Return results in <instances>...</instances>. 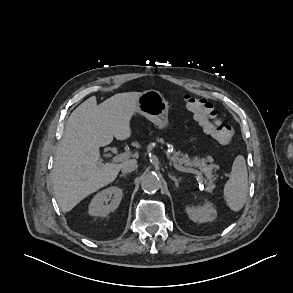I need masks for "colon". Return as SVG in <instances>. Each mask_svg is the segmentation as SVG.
Listing matches in <instances>:
<instances>
[{"instance_id": "1", "label": "colon", "mask_w": 293, "mask_h": 293, "mask_svg": "<svg viewBox=\"0 0 293 293\" xmlns=\"http://www.w3.org/2000/svg\"><path fill=\"white\" fill-rule=\"evenodd\" d=\"M184 103L187 110L203 127L204 131L210 134L217 142L228 144L232 140L234 136L233 127L221 121L215 108L207 99L186 95Z\"/></svg>"}]
</instances>
